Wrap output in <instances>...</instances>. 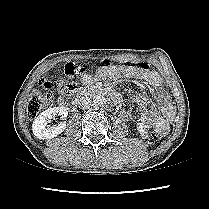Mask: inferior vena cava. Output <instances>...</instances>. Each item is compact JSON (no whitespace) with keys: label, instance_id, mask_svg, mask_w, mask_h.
<instances>
[{"label":"inferior vena cava","instance_id":"1","mask_svg":"<svg viewBox=\"0 0 209 209\" xmlns=\"http://www.w3.org/2000/svg\"><path fill=\"white\" fill-rule=\"evenodd\" d=\"M79 107L83 110L90 109L92 107L91 98L88 96H82L79 98Z\"/></svg>","mask_w":209,"mask_h":209}]
</instances>
